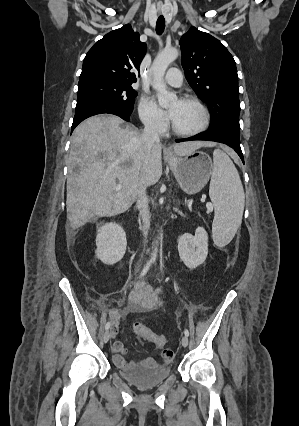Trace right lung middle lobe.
Returning a JSON list of instances; mask_svg holds the SVG:
<instances>
[{"mask_svg": "<svg viewBox=\"0 0 299 426\" xmlns=\"http://www.w3.org/2000/svg\"><path fill=\"white\" fill-rule=\"evenodd\" d=\"M136 96L137 92L131 85L100 82L78 85L77 101L86 98L102 99L126 111H133Z\"/></svg>", "mask_w": 299, "mask_h": 426, "instance_id": "obj_1", "label": "right lung middle lobe"}]
</instances>
